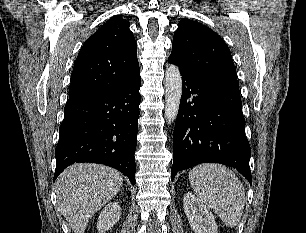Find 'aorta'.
<instances>
[{
  "mask_svg": "<svg viewBox=\"0 0 306 233\" xmlns=\"http://www.w3.org/2000/svg\"><path fill=\"white\" fill-rule=\"evenodd\" d=\"M165 84V119L171 124L177 117L182 95V77L176 65L166 69Z\"/></svg>",
  "mask_w": 306,
  "mask_h": 233,
  "instance_id": "aorta-1",
  "label": "aorta"
}]
</instances>
